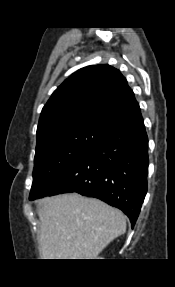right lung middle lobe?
I'll list each match as a JSON object with an SVG mask.
<instances>
[{
	"mask_svg": "<svg viewBox=\"0 0 175 287\" xmlns=\"http://www.w3.org/2000/svg\"><path fill=\"white\" fill-rule=\"evenodd\" d=\"M112 127L101 122L65 124L51 128L37 137L30 197L44 191Z\"/></svg>",
	"mask_w": 175,
	"mask_h": 287,
	"instance_id": "1",
	"label": "right lung middle lobe"
}]
</instances>
